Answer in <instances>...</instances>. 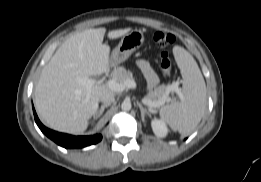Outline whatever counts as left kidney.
Returning a JSON list of instances; mask_svg holds the SVG:
<instances>
[{
    "mask_svg": "<svg viewBox=\"0 0 261 182\" xmlns=\"http://www.w3.org/2000/svg\"><path fill=\"white\" fill-rule=\"evenodd\" d=\"M151 126H152L154 134L157 137H160V138L166 137V135L168 133V128L163 121L154 119L151 122Z\"/></svg>",
    "mask_w": 261,
    "mask_h": 182,
    "instance_id": "5707ae66",
    "label": "left kidney"
}]
</instances>
